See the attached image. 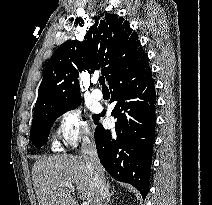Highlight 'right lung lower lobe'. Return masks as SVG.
Segmentation results:
<instances>
[{
  "label": "right lung lower lobe",
  "mask_w": 212,
  "mask_h": 205,
  "mask_svg": "<svg viewBox=\"0 0 212 205\" xmlns=\"http://www.w3.org/2000/svg\"><path fill=\"white\" fill-rule=\"evenodd\" d=\"M115 132L98 123L94 133L101 164L118 181L136 187L143 198L149 190L152 148L155 141L156 94L147 54L119 69L109 80Z\"/></svg>",
  "instance_id": "1"
}]
</instances>
